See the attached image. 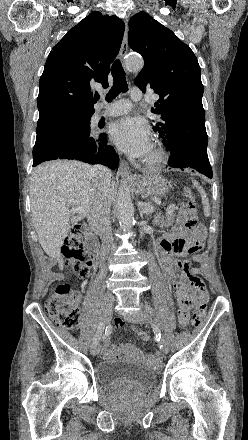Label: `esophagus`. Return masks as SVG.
Segmentation results:
<instances>
[{
  "mask_svg": "<svg viewBox=\"0 0 248 440\" xmlns=\"http://www.w3.org/2000/svg\"><path fill=\"white\" fill-rule=\"evenodd\" d=\"M128 52V21L125 20V31L123 35V41L120 49V59L123 60ZM130 172L129 165L126 161L122 160L120 162L118 173L120 175H128Z\"/></svg>",
  "mask_w": 248,
  "mask_h": 440,
  "instance_id": "34e87169",
  "label": "esophagus"
}]
</instances>
